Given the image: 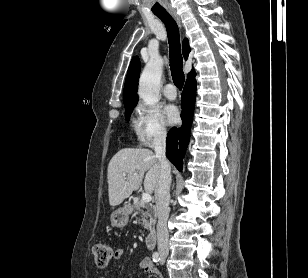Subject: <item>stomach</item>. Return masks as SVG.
I'll use <instances>...</instances> for the list:
<instances>
[{
    "label": "stomach",
    "instance_id": "stomach-1",
    "mask_svg": "<svg viewBox=\"0 0 308 278\" xmlns=\"http://www.w3.org/2000/svg\"><path fill=\"white\" fill-rule=\"evenodd\" d=\"M111 225L114 227H124L128 223L129 212L127 208H119L111 214Z\"/></svg>",
    "mask_w": 308,
    "mask_h": 278
}]
</instances>
